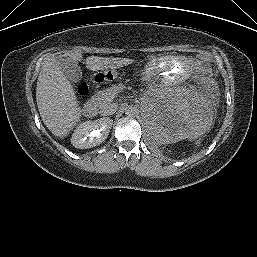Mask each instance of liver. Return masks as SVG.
<instances>
[{
  "label": "liver",
  "instance_id": "1",
  "mask_svg": "<svg viewBox=\"0 0 257 257\" xmlns=\"http://www.w3.org/2000/svg\"><path fill=\"white\" fill-rule=\"evenodd\" d=\"M69 61H82L81 53L66 51L63 54ZM128 58L89 56L86 68L92 71L117 69L132 63ZM36 101L41 119L55 137L64 138L81 118V108L70 81L61 71L55 55L43 63L37 80Z\"/></svg>",
  "mask_w": 257,
  "mask_h": 257
}]
</instances>
